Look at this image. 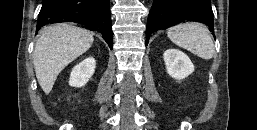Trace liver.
<instances>
[{
  "label": "liver",
  "instance_id": "liver-1",
  "mask_svg": "<svg viewBox=\"0 0 257 130\" xmlns=\"http://www.w3.org/2000/svg\"><path fill=\"white\" fill-rule=\"evenodd\" d=\"M94 41L89 31L69 24L48 26L40 31L33 63L39 85L49 94L59 73L84 54Z\"/></svg>",
  "mask_w": 257,
  "mask_h": 130
}]
</instances>
